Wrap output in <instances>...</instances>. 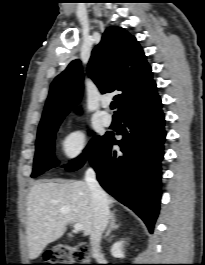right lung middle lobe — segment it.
I'll return each instance as SVG.
<instances>
[{"mask_svg": "<svg viewBox=\"0 0 205 265\" xmlns=\"http://www.w3.org/2000/svg\"><path fill=\"white\" fill-rule=\"evenodd\" d=\"M59 125L60 123L53 124L43 130L38 131L34 167L31 177L39 176L44 171H47L57 165V161L54 157V139ZM104 138L105 135L94 136L88 146L85 148L84 153L64 167L68 171H76L81 168L85 162V155L89 152L90 159L97 148L101 145Z\"/></svg>", "mask_w": 205, "mask_h": 265, "instance_id": "right-lung-middle-lobe-1", "label": "right lung middle lobe"}]
</instances>
